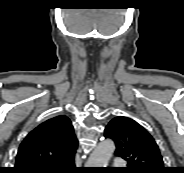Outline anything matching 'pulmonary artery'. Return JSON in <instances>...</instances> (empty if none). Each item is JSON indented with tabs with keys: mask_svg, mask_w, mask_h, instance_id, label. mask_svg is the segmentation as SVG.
Masks as SVG:
<instances>
[{
	"mask_svg": "<svg viewBox=\"0 0 184 173\" xmlns=\"http://www.w3.org/2000/svg\"><path fill=\"white\" fill-rule=\"evenodd\" d=\"M123 163H122V161L120 160V159H116L115 160V165H117V166H121Z\"/></svg>",
	"mask_w": 184,
	"mask_h": 173,
	"instance_id": "e3ab8cb5",
	"label": "pulmonary artery"
}]
</instances>
